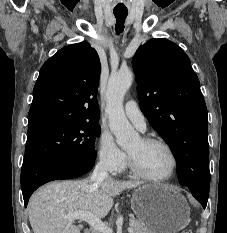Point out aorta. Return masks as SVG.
<instances>
[{"label":"aorta","mask_w":227,"mask_h":233,"mask_svg":"<svg viewBox=\"0 0 227 233\" xmlns=\"http://www.w3.org/2000/svg\"><path fill=\"white\" fill-rule=\"evenodd\" d=\"M132 81L133 73L128 69L121 70L110 76L106 92L109 127L116 137L117 144L122 148H127L138 138V133L130 125L123 108L124 96Z\"/></svg>","instance_id":"1"}]
</instances>
